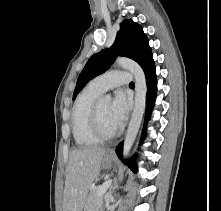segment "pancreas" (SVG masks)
Wrapping results in <instances>:
<instances>
[{
	"mask_svg": "<svg viewBox=\"0 0 221 211\" xmlns=\"http://www.w3.org/2000/svg\"><path fill=\"white\" fill-rule=\"evenodd\" d=\"M98 188H94L88 194L85 201V211H99L103 204V196L97 197Z\"/></svg>",
	"mask_w": 221,
	"mask_h": 211,
	"instance_id": "1",
	"label": "pancreas"
}]
</instances>
